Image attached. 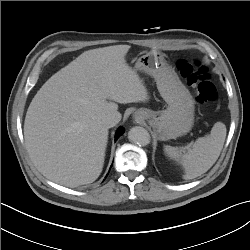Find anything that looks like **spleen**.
<instances>
[{"instance_id":"obj_1","label":"spleen","mask_w":250,"mask_h":250,"mask_svg":"<svg viewBox=\"0 0 250 250\" xmlns=\"http://www.w3.org/2000/svg\"><path fill=\"white\" fill-rule=\"evenodd\" d=\"M226 138V126L216 122L209 135L198 138L188 151L165 146L164 152L170 158L180 163L184 169V179H194L207 172L217 161Z\"/></svg>"}]
</instances>
